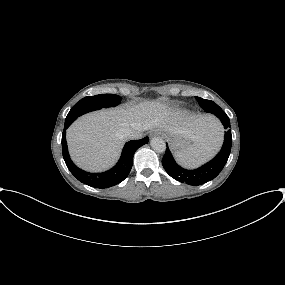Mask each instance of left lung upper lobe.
<instances>
[{"mask_svg":"<svg viewBox=\"0 0 285 285\" xmlns=\"http://www.w3.org/2000/svg\"><path fill=\"white\" fill-rule=\"evenodd\" d=\"M196 100L205 112L213 113L214 111L221 109L215 102L211 100L202 99L200 97H196Z\"/></svg>","mask_w":285,"mask_h":285,"instance_id":"1","label":"left lung upper lobe"}]
</instances>
